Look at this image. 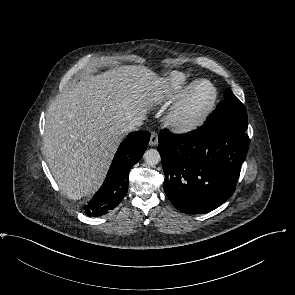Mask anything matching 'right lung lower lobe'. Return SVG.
I'll use <instances>...</instances> for the list:
<instances>
[{
	"instance_id": "98d812e1",
	"label": "right lung lower lobe",
	"mask_w": 295,
	"mask_h": 295,
	"mask_svg": "<svg viewBox=\"0 0 295 295\" xmlns=\"http://www.w3.org/2000/svg\"><path fill=\"white\" fill-rule=\"evenodd\" d=\"M149 139L148 131H138L129 134L122 141L103 185L89 204L84 206L87 216L105 215L119 205L128 191L129 171L143 156Z\"/></svg>"
}]
</instances>
